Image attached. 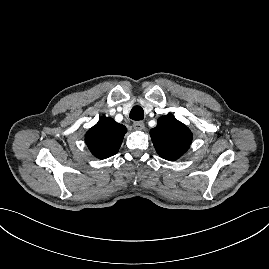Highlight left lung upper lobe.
Returning a JSON list of instances; mask_svg holds the SVG:
<instances>
[{
  "mask_svg": "<svg viewBox=\"0 0 269 269\" xmlns=\"http://www.w3.org/2000/svg\"><path fill=\"white\" fill-rule=\"evenodd\" d=\"M150 136L158 155L169 161L180 158L192 141L191 131L171 113L158 118Z\"/></svg>",
  "mask_w": 269,
  "mask_h": 269,
  "instance_id": "5c2ea615",
  "label": "left lung upper lobe"
}]
</instances>
